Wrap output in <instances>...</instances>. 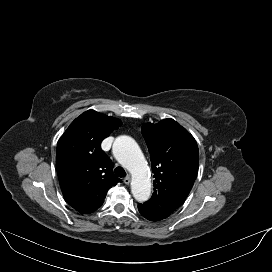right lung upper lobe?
Returning <instances> with one entry per match:
<instances>
[{
    "label": "right lung upper lobe",
    "instance_id": "obj_1",
    "mask_svg": "<svg viewBox=\"0 0 272 272\" xmlns=\"http://www.w3.org/2000/svg\"><path fill=\"white\" fill-rule=\"evenodd\" d=\"M122 125L117 118L94 110L77 117L58 141L56 167L63 196L82 214L99 208L107 191L121 179L101 149V142Z\"/></svg>",
    "mask_w": 272,
    "mask_h": 272
}]
</instances>
